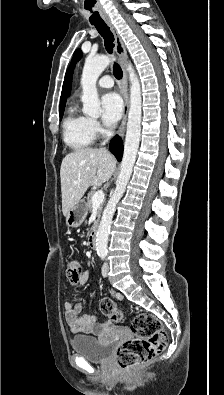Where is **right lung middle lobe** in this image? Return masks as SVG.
Instances as JSON below:
<instances>
[{
  "instance_id": "1",
  "label": "right lung middle lobe",
  "mask_w": 224,
  "mask_h": 395,
  "mask_svg": "<svg viewBox=\"0 0 224 395\" xmlns=\"http://www.w3.org/2000/svg\"><path fill=\"white\" fill-rule=\"evenodd\" d=\"M63 112H64V109H63V110H60V113H59L60 120H61V119H62V117H63Z\"/></svg>"
}]
</instances>
